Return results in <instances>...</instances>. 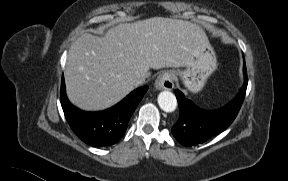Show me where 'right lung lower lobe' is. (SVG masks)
Wrapping results in <instances>:
<instances>
[{
	"instance_id": "obj_1",
	"label": "right lung lower lobe",
	"mask_w": 288,
	"mask_h": 181,
	"mask_svg": "<svg viewBox=\"0 0 288 181\" xmlns=\"http://www.w3.org/2000/svg\"><path fill=\"white\" fill-rule=\"evenodd\" d=\"M147 90V86L138 88L105 111L84 112L69 102L62 79L60 100L73 132L88 145L106 147L117 143L124 136L129 120Z\"/></svg>"
}]
</instances>
